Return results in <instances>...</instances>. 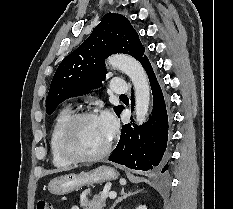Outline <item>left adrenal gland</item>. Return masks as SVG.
Masks as SVG:
<instances>
[{
	"instance_id": "left-adrenal-gland-1",
	"label": "left adrenal gland",
	"mask_w": 233,
	"mask_h": 209,
	"mask_svg": "<svg viewBox=\"0 0 233 209\" xmlns=\"http://www.w3.org/2000/svg\"><path fill=\"white\" fill-rule=\"evenodd\" d=\"M137 192H139V191L126 193V192L124 191V189H122V190H121V197H119V198L113 203V205L111 206L110 209H114L115 206H116L119 202H121L122 200L126 199L127 197H129V196H131V195H133V194H135V193H137Z\"/></svg>"
}]
</instances>
